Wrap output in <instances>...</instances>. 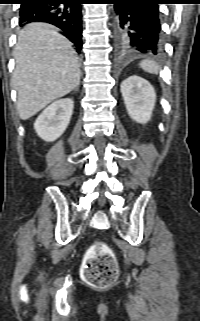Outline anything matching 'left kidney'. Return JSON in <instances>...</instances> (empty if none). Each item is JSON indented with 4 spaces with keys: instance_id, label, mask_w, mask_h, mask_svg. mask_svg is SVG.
<instances>
[{
    "instance_id": "5707ae66",
    "label": "left kidney",
    "mask_w": 200,
    "mask_h": 321,
    "mask_svg": "<svg viewBox=\"0 0 200 321\" xmlns=\"http://www.w3.org/2000/svg\"><path fill=\"white\" fill-rule=\"evenodd\" d=\"M120 88L130 118L137 123H147L156 102L153 86L142 77L132 75L121 83Z\"/></svg>"
}]
</instances>
